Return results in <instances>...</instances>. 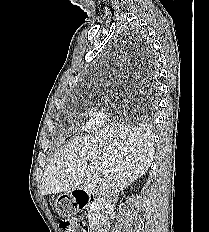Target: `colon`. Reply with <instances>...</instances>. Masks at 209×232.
<instances>
[{"instance_id": "obj_1", "label": "colon", "mask_w": 209, "mask_h": 232, "mask_svg": "<svg viewBox=\"0 0 209 232\" xmlns=\"http://www.w3.org/2000/svg\"><path fill=\"white\" fill-rule=\"evenodd\" d=\"M60 227L64 232H87L88 228L85 222L77 217V221H66L63 220L60 223Z\"/></svg>"}]
</instances>
